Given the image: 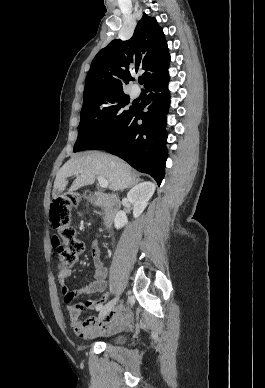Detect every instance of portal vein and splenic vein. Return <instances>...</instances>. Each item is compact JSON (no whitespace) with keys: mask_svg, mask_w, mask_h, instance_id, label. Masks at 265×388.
I'll return each mask as SVG.
<instances>
[{"mask_svg":"<svg viewBox=\"0 0 265 388\" xmlns=\"http://www.w3.org/2000/svg\"><path fill=\"white\" fill-rule=\"evenodd\" d=\"M97 180L101 188H108V184H109L108 180H105V178H102V176H98Z\"/></svg>","mask_w":265,"mask_h":388,"instance_id":"obj_1","label":"portal vein and splenic vein"}]
</instances>
